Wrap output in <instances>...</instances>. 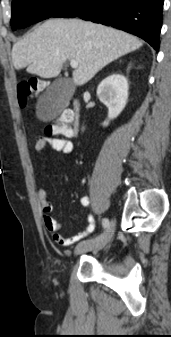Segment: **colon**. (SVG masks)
<instances>
[{"label": "colon", "mask_w": 171, "mask_h": 337, "mask_svg": "<svg viewBox=\"0 0 171 337\" xmlns=\"http://www.w3.org/2000/svg\"><path fill=\"white\" fill-rule=\"evenodd\" d=\"M47 86L45 80H39L30 78L21 81L17 86V95L20 105L25 106L30 98L44 90ZM72 132V124L67 119V115L63 114L62 118L48 124L45 129V135L47 136H67Z\"/></svg>", "instance_id": "5ec220e1"}]
</instances>
